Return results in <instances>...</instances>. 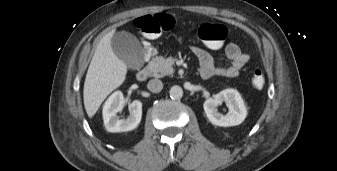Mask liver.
Returning a JSON list of instances; mask_svg holds the SVG:
<instances>
[{"mask_svg": "<svg viewBox=\"0 0 337 171\" xmlns=\"http://www.w3.org/2000/svg\"><path fill=\"white\" fill-rule=\"evenodd\" d=\"M114 33L115 30H112L100 40L86 74L83 99L90 118L106 97L126 79L127 65L116 56L111 46Z\"/></svg>", "mask_w": 337, "mask_h": 171, "instance_id": "liver-1", "label": "liver"}]
</instances>
